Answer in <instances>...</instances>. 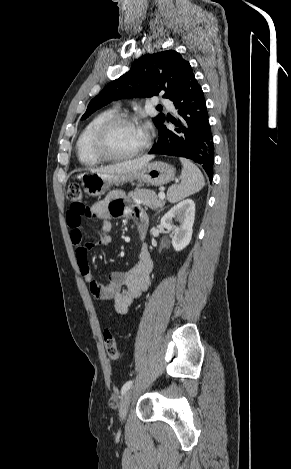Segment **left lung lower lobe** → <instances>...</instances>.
Returning <instances> with one entry per match:
<instances>
[{"mask_svg": "<svg viewBox=\"0 0 291 469\" xmlns=\"http://www.w3.org/2000/svg\"><path fill=\"white\" fill-rule=\"evenodd\" d=\"M180 118L171 120L177 128L170 131L165 125L159 128V138L149 154H165L190 159L213 178L214 145L209 116L201 86L191 68L186 72L177 91L170 97ZM168 120V119H167Z\"/></svg>", "mask_w": 291, "mask_h": 469, "instance_id": "obj_1", "label": "left lung lower lobe"}]
</instances>
